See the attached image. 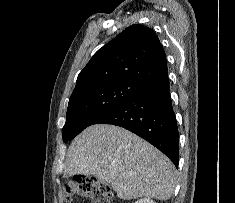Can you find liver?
<instances>
[{"label": "liver", "instance_id": "1", "mask_svg": "<svg viewBox=\"0 0 235 203\" xmlns=\"http://www.w3.org/2000/svg\"><path fill=\"white\" fill-rule=\"evenodd\" d=\"M76 174L108 182L123 200L166 201L176 181L175 167L162 152L136 134L108 124L89 126L71 143L64 176Z\"/></svg>", "mask_w": 235, "mask_h": 203}]
</instances>
